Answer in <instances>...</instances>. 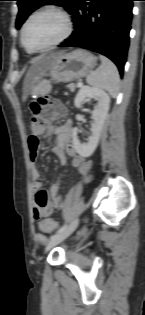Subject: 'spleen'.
I'll use <instances>...</instances> for the list:
<instances>
[{
    "label": "spleen",
    "mask_w": 145,
    "mask_h": 315,
    "mask_svg": "<svg viewBox=\"0 0 145 315\" xmlns=\"http://www.w3.org/2000/svg\"><path fill=\"white\" fill-rule=\"evenodd\" d=\"M101 65L87 76V83L94 88L107 91L116 97L120 90V77L115 64L104 56H100Z\"/></svg>",
    "instance_id": "3e777b00"
}]
</instances>
